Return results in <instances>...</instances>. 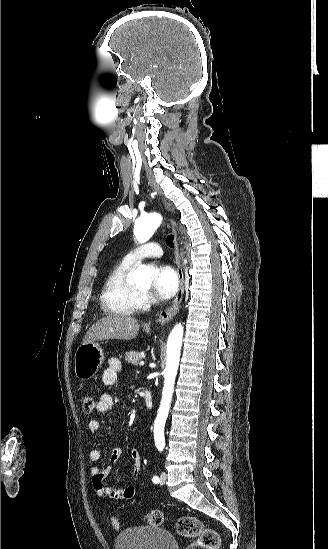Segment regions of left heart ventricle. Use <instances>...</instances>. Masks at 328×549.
<instances>
[{
    "label": "left heart ventricle",
    "mask_w": 328,
    "mask_h": 549,
    "mask_svg": "<svg viewBox=\"0 0 328 549\" xmlns=\"http://www.w3.org/2000/svg\"><path fill=\"white\" fill-rule=\"evenodd\" d=\"M137 287H139V288L142 289L143 291H147V290L149 289L150 286H149V285H146V284H143V285H139V286H137Z\"/></svg>",
    "instance_id": "obj_1"
}]
</instances>
